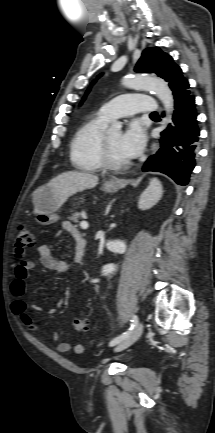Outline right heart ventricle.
Instances as JSON below:
<instances>
[{"label": "right heart ventricle", "mask_w": 215, "mask_h": 433, "mask_svg": "<svg viewBox=\"0 0 215 433\" xmlns=\"http://www.w3.org/2000/svg\"><path fill=\"white\" fill-rule=\"evenodd\" d=\"M108 121L99 111L89 116L77 129L70 148V159L74 167L84 171H99L103 168L100 141Z\"/></svg>", "instance_id": "right-heart-ventricle-1"}]
</instances>
